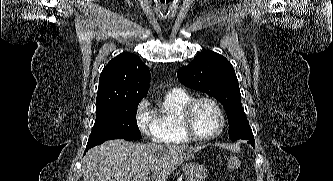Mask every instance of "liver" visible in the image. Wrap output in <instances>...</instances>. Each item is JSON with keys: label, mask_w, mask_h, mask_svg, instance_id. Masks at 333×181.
I'll use <instances>...</instances> for the list:
<instances>
[{"label": "liver", "mask_w": 333, "mask_h": 181, "mask_svg": "<svg viewBox=\"0 0 333 181\" xmlns=\"http://www.w3.org/2000/svg\"><path fill=\"white\" fill-rule=\"evenodd\" d=\"M202 148L110 140L85 154L83 181H166L189 155Z\"/></svg>", "instance_id": "1"}]
</instances>
